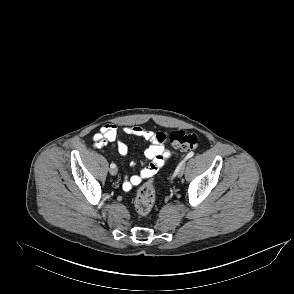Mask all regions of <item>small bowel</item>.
<instances>
[{"mask_svg": "<svg viewBox=\"0 0 294 294\" xmlns=\"http://www.w3.org/2000/svg\"><path fill=\"white\" fill-rule=\"evenodd\" d=\"M122 131L126 135L140 137L150 143L144 152L149 163L138 174L126 177L123 181V189L128 191L132 187L139 185L144 179L153 177L159 168L166 163L169 152L164 142L159 140L158 132L146 130L138 125L124 126ZM93 144L95 148H102L107 144H111L122 157H126L129 152L128 146L118 138V127L112 123L103 125L99 132L94 134ZM131 165H134V163Z\"/></svg>", "mask_w": 294, "mask_h": 294, "instance_id": "c3829d8e", "label": "small bowel"}]
</instances>
